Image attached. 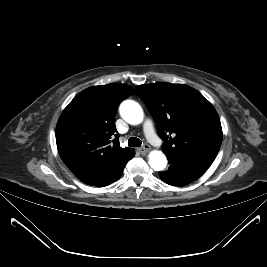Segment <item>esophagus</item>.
<instances>
[{"instance_id":"1","label":"esophagus","mask_w":267,"mask_h":267,"mask_svg":"<svg viewBox=\"0 0 267 267\" xmlns=\"http://www.w3.org/2000/svg\"><path fill=\"white\" fill-rule=\"evenodd\" d=\"M149 150V146L147 144H145L142 148L139 149V152L141 154H146Z\"/></svg>"}]
</instances>
